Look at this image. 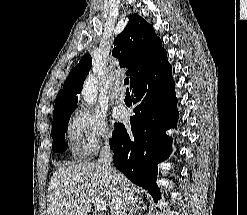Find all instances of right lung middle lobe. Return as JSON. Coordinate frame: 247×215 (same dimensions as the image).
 I'll return each mask as SVG.
<instances>
[{"label": "right lung middle lobe", "instance_id": "dd1d6c3e", "mask_svg": "<svg viewBox=\"0 0 247 215\" xmlns=\"http://www.w3.org/2000/svg\"><path fill=\"white\" fill-rule=\"evenodd\" d=\"M76 106L65 109L59 113L53 115L52 125V150L54 152H63L66 150L67 145L64 143L65 132L67 129L68 121Z\"/></svg>", "mask_w": 247, "mask_h": 215}]
</instances>
